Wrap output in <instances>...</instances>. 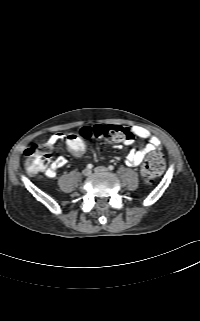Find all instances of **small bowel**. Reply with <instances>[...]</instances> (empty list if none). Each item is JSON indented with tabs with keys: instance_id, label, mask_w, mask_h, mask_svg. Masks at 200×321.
<instances>
[{
	"instance_id": "1",
	"label": "small bowel",
	"mask_w": 200,
	"mask_h": 321,
	"mask_svg": "<svg viewBox=\"0 0 200 321\" xmlns=\"http://www.w3.org/2000/svg\"><path fill=\"white\" fill-rule=\"evenodd\" d=\"M131 130L134 135L147 141V144L144 147L139 149L133 148L128 152L126 156V163L129 166L136 167L143 162L144 158L148 154L154 152L161 146V141L158 137L154 136L149 130L143 127L134 126ZM67 139L68 137L65 134L55 133L48 138L46 145L51 148L57 145L60 141H67ZM66 163V158L63 156H59L54 159L48 167L43 168L44 174L49 178H54L56 176L57 170L65 166Z\"/></svg>"
}]
</instances>
